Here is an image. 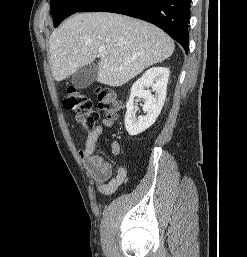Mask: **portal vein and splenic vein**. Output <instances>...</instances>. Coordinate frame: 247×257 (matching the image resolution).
<instances>
[{
	"label": "portal vein and splenic vein",
	"instance_id": "18ae733b",
	"mask_svg": "<svg viewBox=\"0 0 247 257\" xmlns=\"http://www.w3.org/2000/svg\"><path fill=\"white\" fill-rule=\"evenodd\" d=\"M98 55H99V56L104 55V49H99V51H98Z\"/></svg>",
	"mask_w": 247,
	"mask_h": 257
}]
</instances>
